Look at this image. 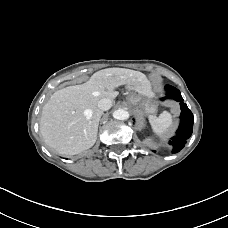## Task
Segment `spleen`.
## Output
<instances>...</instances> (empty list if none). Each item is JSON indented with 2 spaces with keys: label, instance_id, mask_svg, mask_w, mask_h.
Returning a JSON list of instances; mask_svg holds the SVG:
<instances>
[{
  "label": "spleen",
  "instance_id": "spleen-1",
  "mask_svg": "<svg viewBox=\"0 0 228 228\" xmlns=\"http://www.w3.org/2000/svg\"><path fill=\"white\" fill-rule=\"evenodd\" d=\"M149 122L153 131L157 135L163 136L168 132L172 125V116L167 112L160 114L158 117L149 116Z\"/></svg>",
  "mask_w": 228,
  "mask_h": 228
}]
</instances>
